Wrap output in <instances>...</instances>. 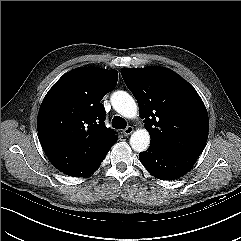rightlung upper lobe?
<instances>
[{"label":"right lung upper lobe","mask_w":241,"mask_h":241,"mask_svg":"<svg viewBox=\"0 0 241 241\" xmlns=\"http://www.w3.org/2000/svg\"><path fill=\"white\" fill-rule=\"evenodd\" d=\"M118 72L79 67L62 76L40 106L37 129L44 151L61 172L99 158L117 140L106 128L102 98L117 84Z\"/></svg>","instance_id":"right-lung-upper-lobe-1"}]
</instances>
